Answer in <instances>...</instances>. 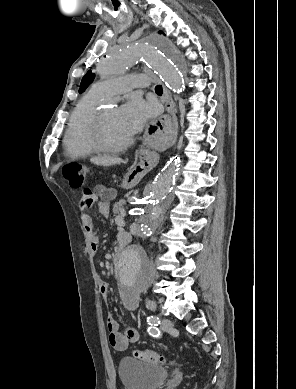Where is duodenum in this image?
Wrapping results in <instances>:
<instances>
[{
    "label": "duodenum",
    "mask_w": 296,
    "mask_h": 389,
    "mask_svg": "<svg viewBox=\"0 0 296 389\" xmlns=\"http://www.w3.org/2000/svg\"><path fill=\"white\" fill-rule=\"evenodd\" d=\"M128 243H129V237L122 236L119 239V247L115 250V252L113 253V256H112V261L114 263H117L120 261L122 253H123V249L125 248V246Z\"/></svg>",
    "instance_id": "1"
}]
</instances>
